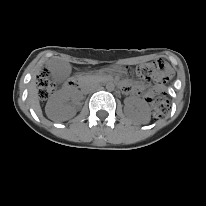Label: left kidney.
I'll return each mask as SVG.
<instances>
[{"label": "left kidney", "mask_w": 206, "mask_h": 206, "mask_svg": "<svg viewBox=\"0 0 206 206\" xmlns=\"http://www.w3.org/2000/svg\"><path fill=\"white\" fill-rule=\"evenodd\" d=\"M125 113L146 124L150 121V107L145 100L139 98H128L124 107Z\"/></svg>", "instance_id": "5707ae66"}]
</instances>
